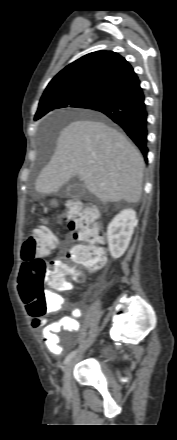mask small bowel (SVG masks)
Wrapping results in <instances>:
<instances>
[{
  "label": "small bowel",
  "mask_w": 177,
  "mask_h": 440,
  "mask_svg": "<svg viewBox=\"0 0 177 440\" xmlns=\"http://www.w3.org/2000/svg\"><path fill=\"white\" fill-rule=\"evenodd\" d=\"M69 289H71L70 284L63 290L66 291ZM47 298V309L49 312L58 311L63 307V299L59 294L49 292ZM81 315L82 310L75 307L70 309V315L63 316L53 322H48V319L44 316L33 317L32 326L36 329H41L43 341L49 351L55 355H60L64 352V346L60 342L58 333L60 331L78 333L80 330L78 318H80Z\"/></svg>",
  "instance_id": "obj_1"
}]
</instances>
